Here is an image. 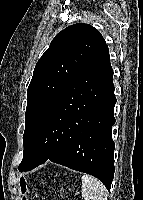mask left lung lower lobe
<instances>
[{
	"instance_id": "left-lung-lower-lobe-1",
	"label": "left lung lower lobe",
	"mask_w": 143,
	"mask_h": 200,
	"mask_svg": "<svg viewBox=\"0 0 143 200\" xmlns=\"http://www.w3.org/2000/svg\"><path fill=\"white\" fill-rule=\"evenodd\" d=\"M115 103L106 45L39 117L32 156L23 171L51 160L97 177L110 190L114 177L111 128L115 124Z\"/></svg>"
}]
</instances>
